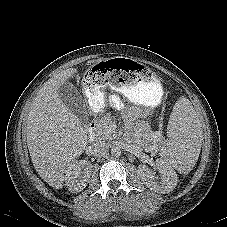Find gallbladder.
Returning a JSON list of instances; mask_svg holds the SVG:
<instances>
[{
    "label": "gallbladder",
    "mask_w": 227,
    "mask_h": 227,
    "mask_svg": "<svg viewBox=\"0 0 227 227\" xmlns=\"http://www.w3.org/2000/svg\"><path fill=\"white\" fill-rule=\"evenodd\" d=\"M58 94L63 104L77 116L82 117L86 113L85 101L71 82H64L59 88Z\"/></svg>",
    "instance_id": "obj_1"
}]
</instances>
